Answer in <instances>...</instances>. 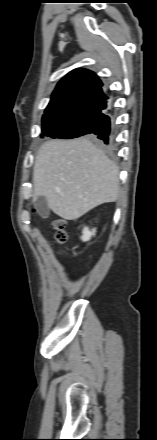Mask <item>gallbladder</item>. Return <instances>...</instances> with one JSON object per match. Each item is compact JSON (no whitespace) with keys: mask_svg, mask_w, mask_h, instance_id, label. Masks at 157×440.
<instances>
[{"mask_svg":"<svg viewBox=\"0 0 157 440\" xmlns=\"http://www.w3.org/2000/svg\"><path fill=\"white\" fill-rule=\"evenodd\" d=\"M35 207L39 215L42 217H45L49 213L47 199L43 196H40L35 200Z\"/></svg>","mask_w":157,"mask_h":440,"instance_id":"1","label":"gallbladder"}]
</instances>
